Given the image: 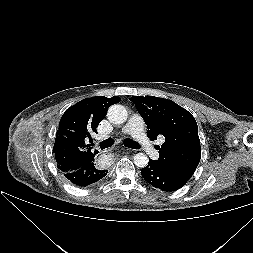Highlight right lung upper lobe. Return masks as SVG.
Segmentation results:
<instances>
[{"mask_svg": "<svg viewBox=\"0 0 253 253\" xmlns=\"http://www.w3.org/2000/svg\"><path fill=\"white\" fill-rule=\"evenodd\" d=\"M120 101L118 96L91 97L76 103L64 112L53 147L61 172H73L94 161L98 151H92L87 140L91 138L92 132L97 133L96 128L105 118L108 108Z\"/></svg>", "mask_w": 253, "mask_h": 253, "instance_id": "obj_1", "label": "right lung upper lobe"}]
</instances>
